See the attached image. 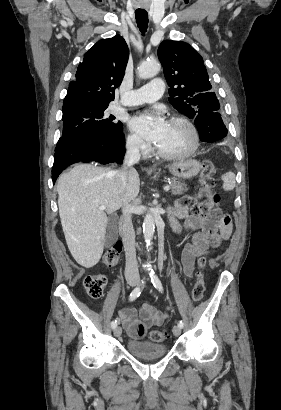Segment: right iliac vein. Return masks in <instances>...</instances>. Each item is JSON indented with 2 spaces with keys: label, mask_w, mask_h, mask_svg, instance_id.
I'll return each instance as SVG.
<instances>
[{
  "label": "right iliac vein",
  "mask_w": 281,
  "mask_h": 410,
  "mask_svg": "<svg viewBox=\"0 0 281 410\" xmlns=\"http://www.w3.org/2000/svg\"><path fill=\"white\" fill-rule=\"evenodd\" d=\"M129 285H130V286H135L136 283H135V282H130ZM121 333H122L121 327H116V328L114 329V336H115V337H119V336L121 335Z\"/></svg>",
  "instance_id": "63e3f726"
}]
</instances>
